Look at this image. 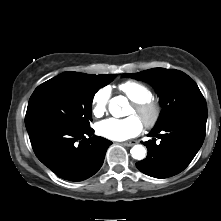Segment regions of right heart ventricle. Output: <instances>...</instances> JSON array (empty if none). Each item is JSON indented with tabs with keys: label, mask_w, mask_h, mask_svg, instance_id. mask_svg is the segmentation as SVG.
Returning <instances> with one entry per match:
<instances>
[{
	"label": "right heart ventricle",
	"mask_w": 221,
	"mask_h": 221,
	"mask_svg": "<svg viewBox=\"0 0 221 221\" xmlns=\"http://www.w3.org/2000/svg\"><path fill=\"white\" fill-rule=\"evenodd\" d=\"M118 88L132 102L146 101L152 98L150 88L137 81H125Z\"/></svg>",
	"instance_id": "e07e8e85"
}]
</instances>
